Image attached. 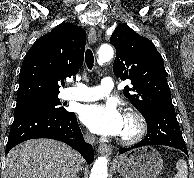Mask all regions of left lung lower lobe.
Segmentation results:
<instances>
[{
    "label": "left lung lower lobe",
    "mask_w": 194,
    "mask_h": 178,
    "mask_svg": "<svg viewBox=\"0 0 194 178\" xmlns=\"http://www.w3.org/2000/svg\"><path fill=\"white\" fill-rule=\"evenodd\" d=\"M142 114L148 128L146 137L132 147L119 149V153L142 146L167 145L180 149L188 155L174 106L151 107L145 109Z\"/></svg>",
    "instance_id": "obj_1"
}]
</instances>
